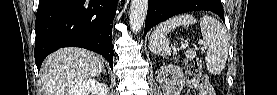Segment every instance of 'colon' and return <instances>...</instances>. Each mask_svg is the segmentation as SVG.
Returning <instances> with one entry per match:
<instances>
[{"instance_id":"obj_1","label":"colon","mask_w":277,"mask_h":95,"mask_svg":"<svg viewBox=\"0 0 277 95\" xmlns=\"http://www.w3.org/2000/svg\"><path fill=\"white\" fill-rule=\"evenodd\" d=\"M203 70H204V61L199 56L192 58L186 64V74L189 78L195 75L202 74Z\"/></svg>"}]
</instances>
